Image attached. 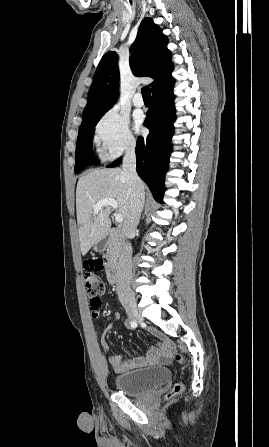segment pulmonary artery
I'll return each mask as SVG.
<instances>
[{"label": "pulmonary artery", "mask_w": 269, "mask_h": 447, "mask_svg": "<svg viewBox=\"0 0 269 447\" xmlns=\"http://www.w3.org/2000/svg\"><path fill=\"white\" fill-rule=\"evenodd\" d=\"M133 104L136 107H142L144 105V99L141 94L137 93L133 97Z\"/></svg>", "instance_id": "e3ab8cb5"}]
</instances>
